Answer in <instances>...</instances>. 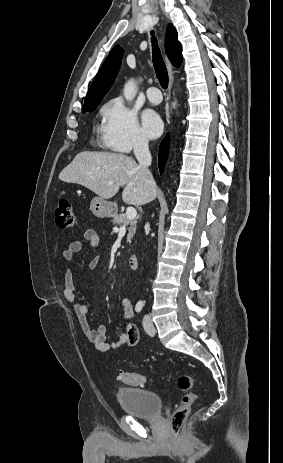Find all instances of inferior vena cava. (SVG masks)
I'll return each instance as SVG.
<instances>
[{
  "mask_svg": "<svg viewBox=\"0 0 283 463\" xmlns=\"http://www.w3.org/2000/svg\"><path fill=\"white\" fill-rule=\"evenodd\" d=\"M134 154L137 158L140 167L145 173V182L148 185L154 184L153 176L149 170L152 162L151 153L149 151L148 140L144 137H137L134 142Z\"/></svg>",
  "mask_w": 283,
  "mask_h": 463,
  "instance_id": "1",
  "label": "inferior vena cava"
}]
</instances>
